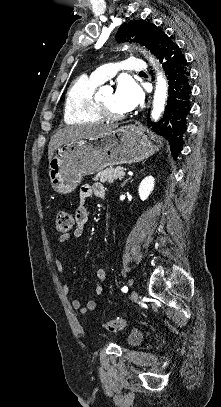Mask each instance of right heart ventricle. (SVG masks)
I'll return each instance as SVG.
<instances>
[{
	"label": "right heart ventricle",
	"mask_w": 221,
	"mask_h": 407,
	"mask_svg": "<svg viewBox=\"0 0 221 407\" xmlns=\"http://www.w3.org/2000/svg\"><path fill=\"white\" fill-rule=\"evenodd\" d=\"M99 83L92 77L81 76L67 90L64 102V121L94 123L103 118L98 114L94 93Z\"/></svg>",
	"instance_id": "e07e8e85"
}]
</instances>
